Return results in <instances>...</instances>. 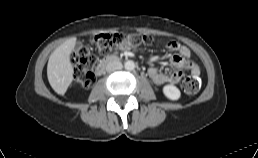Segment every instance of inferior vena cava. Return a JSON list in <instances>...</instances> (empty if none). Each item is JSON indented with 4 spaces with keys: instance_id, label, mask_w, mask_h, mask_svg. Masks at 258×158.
<instances>
[{
    "instance_id": "inferior-vena-cava-1",
    "label": "inferior vena cava",
    "mask_w": 258,
    "mask_h": 158,
    "mask_svg": "<svg viewBox=\"0 0 258 158\" xmlns=\"http://www.w3.org/2000/svg\"><path fill=\"white\" fill-rule=\"evenodd\" d=\"M122 63L118 60L110 61L106 66L107 72H114L122 69Z\"/></svg>"
}]
</instances>
